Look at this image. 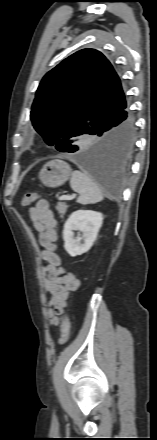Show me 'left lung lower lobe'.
Here are the masks:
<instances>
[{
    "label": "left lung lower lobe",
    "instance_id": "0a47b994",
    "mask_svg": "<svg viewBox=\"0 0 157 440\" xmlns=\"http://www.w3.org/2000/svg\"><path fill=\"white\" fill-rule=\"evenodd\" d=\"M134 118L127 102L111 112L93 135L101 136L91 148L82 145L68 147L78 164L93 175L106 189L117 188L129 164L134 144Z\"/></svg>",
    "mask_w": 157,
    "mask_h": 440
}]
</instances>
